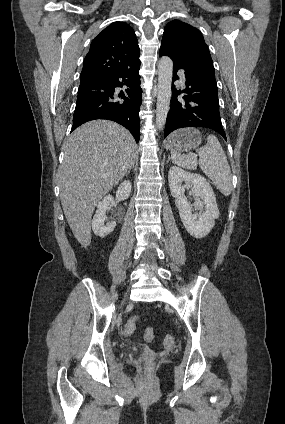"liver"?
Returning <instances> with one entry per match:
<instances>
[{
  "label": "liver",
  "instance_id": "1",
  "mask_svg": "<svg viewBox=\"0 0 285 424\" xmlns=\"http://www.w3.org/2000/svg\"><path fill=\"white\" fill-rule=\"evenodd\" d=\"M60 198L77 241L91 243V217L97 203L123 179L134 158V138L121 125L93 120L63 144Z\"/></svg>",
  "mask_w": 285,
  "mask_h": 424
}]
</instances>
